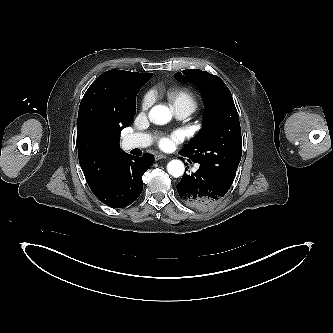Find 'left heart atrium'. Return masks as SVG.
Here are the masks:
<instances>
[{"label":"left heart atrium","mask_w":333,"mask_h":333,"mask_svg":"<svg viewBox=\"0 0 333 333\" xmlns=\"http://www.w3.org/2000/svg\"><path fill=\"white\" fill-rule=\"evenodd\" d=\"M179 139V135L175 134L170 137L161 138L159 144L161 147H168L169 145H171V143L178 141Z\"/></svg>","instance_id":"39dd6f15"}]
</instances>
